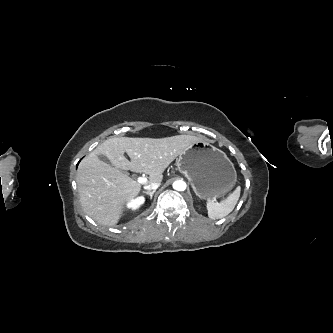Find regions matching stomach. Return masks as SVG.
I'll list each match as a JSON object with an SVG mask.
<instances>
[{"label":"stomach","instance_id":"0dacf381","mask_svg":"<svg viewBox=\"0 0 333 333\" xmlns=\"http://www.w3.org/2000/svg\"><path fill=\"white\" fill-rule=\"evenodd\" d=\"M176 163L201 199L224 197L235 185L237 174L234 164L223 151L203 139L180 154Z\"/></svg>","mask_w":333,"mask_h":333}]
</instances>
